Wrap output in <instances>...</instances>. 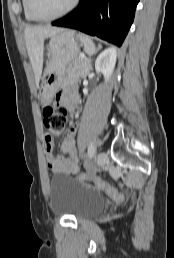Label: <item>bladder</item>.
Listing matches in <instances>:
<instances>
[{
    "label": "bladder",
    "instance_id": "1",
    "mask_svg": "<svg viewBox=\"0 0 174 258\" xmlns=\"http://www.w3.org/2000/svg\"><path fill=\"white\" fill-rule=\"evenodd\" d=\"M49 204L57 214L84 219L101 212L106 200L98 192L79 185L70 176L57 173L50 178Z\"/></svg>",
    "mask_w": 174,
    "mask_h": 258
}]
</instances>
